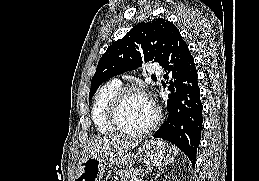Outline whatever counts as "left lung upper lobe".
Segmentation results:
<instances>
[{"label":"left lung upper lobe","mask_w":259,"mask_h":181,"mask_svg":"<svg viewBox=\"0 0 259 181\" xmlns=\"http://www.w3.org/2000/svg\"><path fill=\"white\" fill-rule=\"evenodd\" d=\"M179 37L176 26L163 18L134 26L122 39L111 44L100 58L91 81L89 99L104 81L137 69L143 62L156 61L162 66Z\"/></svg>","instance_id":"5c2ea615"}]
</instances>
